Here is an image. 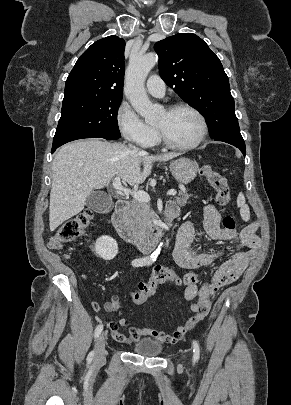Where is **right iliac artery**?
I'll return each instance as SVG.
<instances>
[{"label":"right iliac artery","instance_id":"82829eb1","mask_svg":"<svg viewBox=\"0 0 291 405\" xmlns=\"http://www.w3.org/2000/svg\"><path fill=\"white\" fill-rule=\"evenodd\" d=\"M149 263H150L149 260L141 259V258L140 259H135V260L132 261V265L134 267H142V266H145V265H147ZM102 330H103V325L102 324H100V325H98L96 327L95 333H94L95 338H97L101 334ZM93 357H94V352L92 351L88 355V361H91L93 359Z\"/></svg>","mask_w":291,"mask_h":405}]
</instances>
